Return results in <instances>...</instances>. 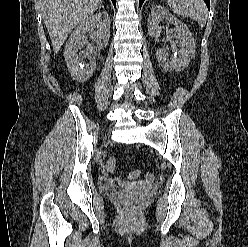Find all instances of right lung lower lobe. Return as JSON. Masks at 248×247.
<instances>
[{"instance_id":"1","label":"right lung lower lobe","mask_w":248,"mask_h":247,"mask_svg":"<svg viewBox=\"0 0 248 247\" xmlns=\"http://www.w3.org/2000/svg\"><path fill=\"white\" fill-rule=\"evenodd\" d=\"M111 1L113 2L114 6H116V0H111Z\"/></svg>"}]
</instances>
